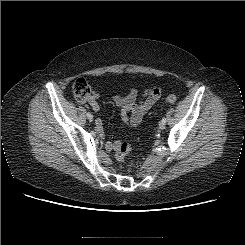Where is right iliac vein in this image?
<instances>
[{
  "label": "right iliac vein",
  "mask_w": 245,
  "mask_h": 245,
  "mask_svg": "<svg viewBox=\"0 0 245 245\" xmlns=\"http://www.w3.org/2000/svg\"><path fill=\"white\" fill-rule=\"evenodd\" d=\"M88 120H89L90 122H92V121H93V116L88 117Z\"/></svg>",
  "instance_id": "1"
}]
</instances>
